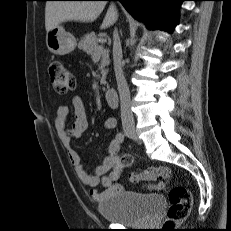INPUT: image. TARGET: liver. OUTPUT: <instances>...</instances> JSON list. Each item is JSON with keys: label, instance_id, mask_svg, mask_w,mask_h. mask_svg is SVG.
I'll list each match as a JSON object with an SVG mask.
<instances>
[{"label": "liver", "instance_id": "obj_1", "mask_svg": "<svg viewBox=\"0 0 231 231\" xmlns=\"http://www.w3.org/2000/svg\"><path fill=\"white\" fill-rule=\"evenodd\" d=\"M106 1H48L45 7V28L50 31L62 22H93L105 8ZM117 10L110 5L101 25L106 29L117 20Z\"/></svg>", "mask_w": 231, "mask_h": 231}]
</instances>
